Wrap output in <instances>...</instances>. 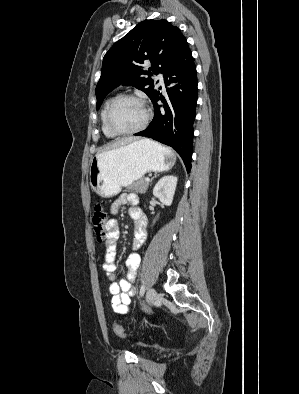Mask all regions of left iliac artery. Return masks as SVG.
<instances>
[{
	"label": "left iliac artery",
	"instance_id": "1",
	"mask_svg": "<svg viewBox=\"0 0 299 394\" xmlns=\"http://www.w3.org/2000/svg\"><path fill=\"white\" fill-rule=\"evenodd\" d=\"M144 292H145V286L142 285L140 288V296H143Z\"/></svg>",
	"mask_w": 299,
	"mask_h": 394
}]
</instances>
